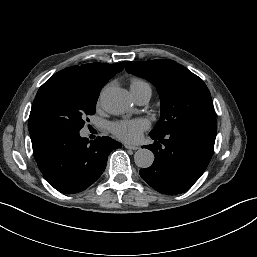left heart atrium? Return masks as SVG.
<instances>
[{
  "label": "left heart atrium",
  "instance_id": "obj_1",
  "mask_svg": "<svg viewBox=\"0 0 257 257\" xmlns=\"http://www.w3.org/2000/svg\"><path fill=\"white\" fill-rule=\"evenodd\" d=\"M146 120H124L115 122L111 125V131L125 142H136L140 139L141 134L148 128Z\"/></svg>",
  "mask_w": 257,
  "mask_h": 257
}]
</instances>
